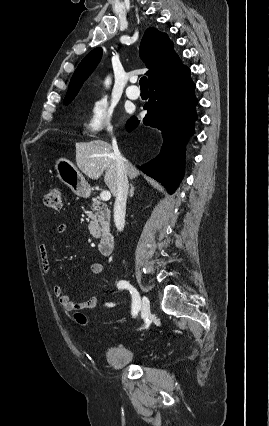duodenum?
<instances>
[{
  "instance_id": "duodenum-1",
  "label": "duodenum",
  "mask_w": 269,
  "mask_h": 426,
  "mask_svg": "<svg viewBox=\"0 0 269 426\" xmlns=\"http://www.w3.org/2000/svg\"><path fill=\"white\" fill-rule=\"evenodd\" d=\"M114 248V235L112 232H105L99 239V251L104 256L111 255Z\"/></svg>"
}]
</instances>
